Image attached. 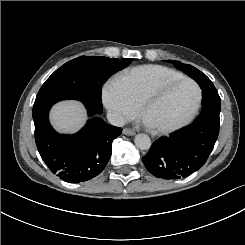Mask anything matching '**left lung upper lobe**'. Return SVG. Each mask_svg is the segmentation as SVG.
I'll list each match as a JSON object with an SVG mask.
<instances>
[{"mask_svg":"<svg viewBox=\"0 0 245 245\" xmlns=\"http://www.w3.org/2000/svg\"><path fill=\"white\" fill-rule=\"evenodd\" d=\"M169 62H172L177 68L182 70L184 73L189 75L191 78H193L196 82H199L200 80L204 79L207 77L204 73L196 69L195 67L188 65V64H183L179 61H173L169 60Z\"/></svg>","mask_w":245,"mask_h":245,"instance_id":"left-lung-upper-lobe-1","label":"left lung upper lobe"}]
</instances>
